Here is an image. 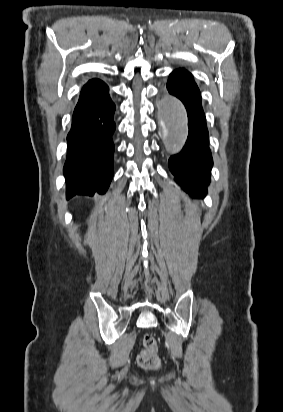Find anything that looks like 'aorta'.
<instances>
[{
    "label": "aorta",
    "mask_w": 283,
    "mask_h": 412,
    "mask_svg": "<svg viewBox=\"0 0 283 412\" xmlns=\"http://www.w3.org/2000/svg\"><path fill=\"white\" fill-rule=\"evenodd\" d=\"M167 110L171 113L172 120L169 124L162 123V135L166 140L179 141L186 133V111L178 100H172Z\"/></svg>",
    "instance_id": "1"
}]
</instances>
